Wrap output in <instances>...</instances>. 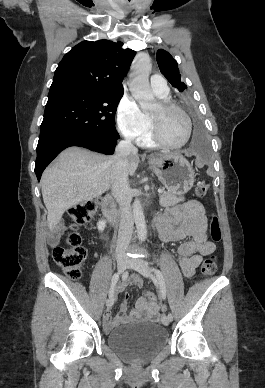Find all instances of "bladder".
<instances>
[{
    "mask_svg": "<svg viewBox=\"0 0 265 388\" xmlns=\"http://www.w3.org/2000/svg\"><path fill=\"white\" fill-rule=\"evenodd\" d=\"M168 334L157 322L124 325L107 335L106 344L131 361H146L165 346Z\"/></svg>",
    "mask_w": 265,
    "mask_h": 388,
    "instance_id": "obj_1",
    "label": "bladder"
}]
</instances>
